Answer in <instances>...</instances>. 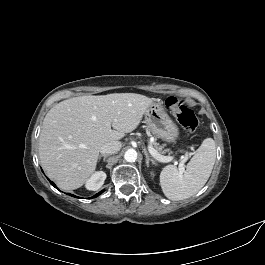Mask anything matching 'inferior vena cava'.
I'll use <instances>...</instances> for the list:
<instances>
[{
    "label": "inferior vena cava",
    "instance_id": "602c4592",
    "mask_svg": "<svg viewBox=\"0 0 265 265\" xmlns=\"http://www.w3.org/2000/svg\"><path fill=\"white\" fill-rule=\"evenodd\" d=\"M120 148H121L120 142H117V141L108 142L102 145L100 149V153L103 155L114 154L118 152Z\"/></svg>",
    "mask_w": 265,
    "mask_h": 265
}]
</instances>
